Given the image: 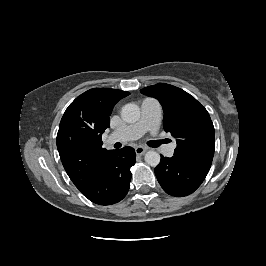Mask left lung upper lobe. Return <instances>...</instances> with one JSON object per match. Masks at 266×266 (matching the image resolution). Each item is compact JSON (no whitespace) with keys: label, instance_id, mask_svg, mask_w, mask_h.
I'll list each match as a JSON object with an SVG mask.
<instances>
[{"label":"left lung upper lobe","instance_id":"left-lung-upper-lobe-1","mask_svg":"<svg viewBox=\"0 0 266 266\" xmlns=\"http://www.w3.org/2000/svg\"><path fill=\"white\" fill-rule=\"evenodd\" d=\"M141 93L161 103L164 130L177 141L175 157L212 162L214 126L207 110L193 96L165 83L143 88Z\"/></svg>","mask_w":266,"mask_h":266}]
</instances>
